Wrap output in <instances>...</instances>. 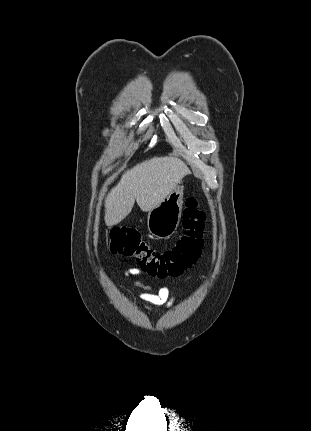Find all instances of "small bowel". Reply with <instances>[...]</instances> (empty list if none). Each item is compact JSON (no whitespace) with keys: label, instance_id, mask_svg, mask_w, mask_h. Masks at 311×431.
<instances>
[{"label":"small bowel","instance_id":"small-bowel-1","mask_svg":"<svg viewBox=\"0 0 311 431\" xmlns=\"http://www.w3.org/2000/svg\"><path fill=\"white\" fill-rule=\"evenodd\" d=\"M140 273L141 270L139 268L132 267L126 271L125 276L129 277L138 275ZM140 298L146 304V308H151V306H165L169 308L174 302V297L171 295L167 286L161 287L156 293H153L145 288V291L140 294Z\"/></svg>","mask_w":311,"mask_h":431}]
</instances>
